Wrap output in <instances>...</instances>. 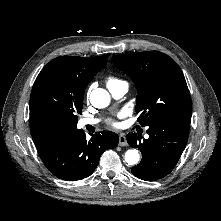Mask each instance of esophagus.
I'll return each instance as SVG.
<instances>
[{
	"label": "esophagus",
	"mask_w": 221,
	"mask_h": 221,
	"mask_svg": "<svg viewBox=\"0 0 221 221\" xmlns=\"http://www.w3.org/2000/svg\"><path fill=\"white\" fill-rule=\"evenodd\" d=\"M119 145L120 146H127V140L124 134L119 135Z\"/></svg>",
	"instance_id": "1"
}]
</instances>
